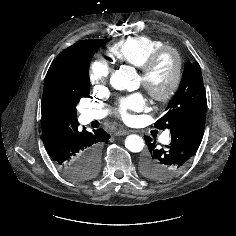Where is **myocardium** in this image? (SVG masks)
Segmentation results:
<instances>
[{"instance_id": "f54148a6", "label": "myocardium", "mask_w": 236, "mask_h": 236, "mask_svg": "<svg viewBox=\"0 0 236 236\" xmlns=\"http://www.w3.org/2000/svg\"><path fill=\"white\" fill-rule=\"evenodd\" d=\"M167 54L172 55V57L174 58V72L169 86L164 90H160L152 85L150 78L152 73L158 66L160 60ZM183 65L184 61L182 55L176 48L165 45L157 49L140 67L139 74L142 79L143 87L148 91L150 96L155 101L166 102L170 100L175 95L180 86L183 75Z\"/></svg>"}]
</instances>
